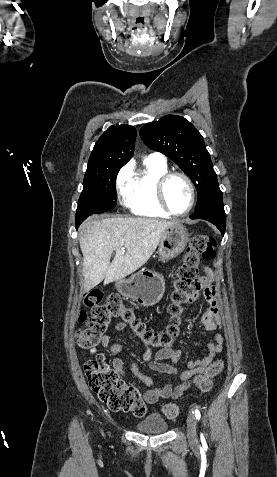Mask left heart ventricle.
<instances>
[{
  "instance_id": "1",
  "label": "left heart ventricle",
  "mask_w": 277,
  "mask_h": 477,
  "mask_svg": "<svg viewBox=\"0 0 277 477\" xmlns=\"http://www.w3.org/2000/svg\"><path fill=\"white\" fill-rule=\"evenodd\" d=\"M166 198L175 212H183L190 202V190L186 181L181 177H173L166 186Z\"/></svg>"
}]
</instances>
